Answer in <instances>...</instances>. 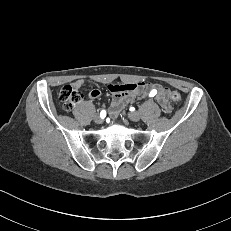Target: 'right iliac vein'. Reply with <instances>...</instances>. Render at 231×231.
I'll return each mask as SVG.
<instances>
[{
    "label": "right iliac vein",
    "instance_id": "1",
    "mask_svg": "<svg viewBox=\"0 0 231 231\" xmlns=\"http://www.w3.org/2000/svg\"><path fill=\"white\" fill-rule=\"evenodd\" d=\"M94 122L96 124H101L103 122L102 118L99 115L94 116Z\"/></svg>",
    "mask_w": 231,
    "mask_h": 231
}]
</instances>
